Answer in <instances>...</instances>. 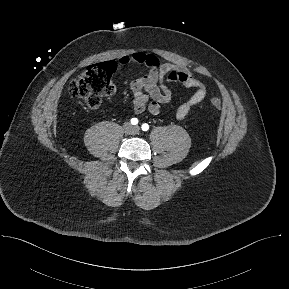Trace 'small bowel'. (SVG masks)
<instances>
[{"mask_svg":"<svg viewBox=\"0 0 289 289\" xmlns=\"http://www.w3.org/2000/svg\"><path fill=\"white\" fill-rule=\"evenodd\" d=\"M118 64H140L147 68V73L130 81L133 94V112L140 115L148 111L152 115H160L163 106L171 101L172 93L168 83L178 82L186 88H193L194 93L175 111L177 120L185 119L193 107L201 103L207 94L206 85L197 79L186 67H177L170 63H162L155 55L145 52H133L122 55Z\"/></svg>","mask_w":289,"mask_h":289,"instance_id":"small-bowel-1","label":"small bowel"}]
</instances>
